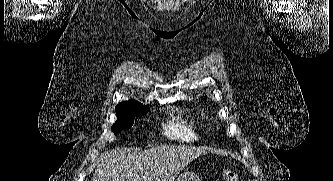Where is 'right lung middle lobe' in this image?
<instances>
[{"mask_svg": "<svg viewBox=\"0 0 333 181\" xmlns=\"http://www.w3.org/2000/svg\"><path fill=\"white\" fill-rule=\"evenodd\" d=\"M149 107H143L138 109L126 110L123 112H116L117 120L112 125V131L114 134L119 133L121 130H127L133 125V121L136 117H140L147 113Z\"/></svg>", "mask_w": 333, "mask_h": 181, "instance_id": "1", "label": "right lung middle lobe"}]
</instances>
